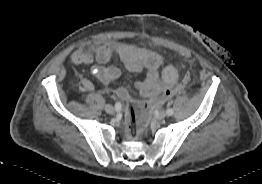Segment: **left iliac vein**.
<instances>
[{"label":"left iliac vein","instance_id":"4c4485c4","mask_svg":"<svg viewBox=\"0 0 262 184\" xmlns=\"http://www.w3.org/2000/svg\"><path fill=\"white\" fill-rule=\"evenodd\" d=\"M165 117H166V112H165V111H160V112L157 114V116H156V118H157L158 120H163Z\"/></svg>","mask_w":262,"mask_h":184}]
</instances>
